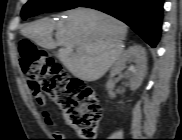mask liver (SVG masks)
<instances>
[{"mask_svg": "<svg viewBox=\"0 0 182 140\" xmlns=\"http://www.w3.org/2000/svg\"><path fill=\"white\" fill-rule=\"evenodd\" d=\"M66 15L64 24L56 25L52 19L43 18L22 28L21 34L46 49L61 45L56 55L76 78L84 81L100 79L121 57L127 26L89 8L78 7ZM54 30L56 41L52 38Z\"/></svg>", "mask_w": 182, "mask_h": 140, "instance_id": "1", "label": "liver"}]
</instances>
